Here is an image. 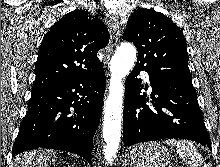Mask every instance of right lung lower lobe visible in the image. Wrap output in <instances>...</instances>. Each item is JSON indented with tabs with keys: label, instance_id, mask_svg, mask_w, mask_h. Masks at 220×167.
Masks as SVG:
<instances>
[{
	"label": "right lung lower lobe",
	"instance_id": "98d812e1",
	"mask_svg": "<svg viewBox=\"0 0 220 167\" xmlns=\"http://www.w3.org/2000/svg\"><path fill=\"white\" fill-rule=\"evenodd\" d=\"M105 84L101 66L66 84L32 91L12 156L43 147L72 152L91 163Z\"/></svg>",
	"mask_w": 220,
	"mask_h": 167
}]
</instances>
